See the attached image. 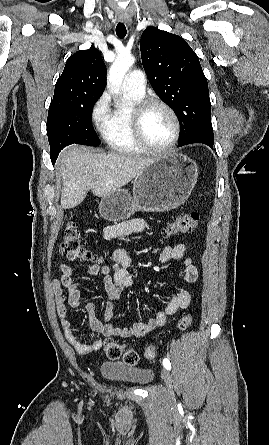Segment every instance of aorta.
<instances>
[{
    "instance_id": "obj_1",
    "label": "aorta",
    "mask_w": 269,
    "mask_h": 445,
    "mask_svg": "<svg viewBox=\"0 0 269 445\" xmlns=\"http://www.w3.org/2000/svg\"><path fill=\"white\" fill-rule=\"evenodd\" d=\"M134 63L135 58L130 54H122L116 58L107 75L108 83L114 90H120L126 72Z\"/></svg>"
}]
</instances>
